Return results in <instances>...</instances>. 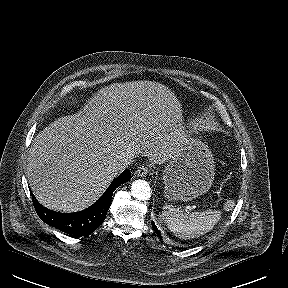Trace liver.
Wrapping results in <instances>:
<instances>
[{
    "label": "liver",
    "mask_w": 288,
    "mask_h": 288,
    "mask_svg": "<svg viewBox=\"0 0 288 288\" xmlns=\"http://www.w3.org/2000/svg\"><path fill=\"white\" fill-rule=\"evenodd\" d=\"M187 140L181 104L166 86L114 83L94 94L77 114L59 118L34 138L29 186L46 208L81 211L119 174L109 169L118 156L143 153L163 164Z\"/></svg>",
    "instance_id": "6515ba94"
}]
</instances>
